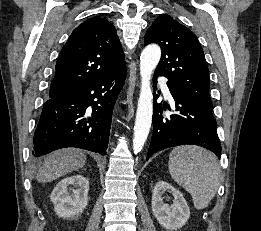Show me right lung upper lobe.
<instances>
[{
    "label": "right lung upper lobe",
    "mask_w": 261,
    "mask_h": 231,
    "mask_svg": "<svg viewBox=\"0 0 261 231\" xmlns=\"http://www.w3.org/2000/svg\"><path fill=\"white\" fill-rule=\"evenodd\" d=\"M124 65L114 25L106 18L94 16L80 24L63 46L49 97L72 93Z\"/></svg>",
    "instance_id": "cb5924a9"
}]
</instances>
